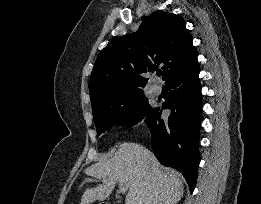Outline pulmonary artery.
I'll use <instances>...</instances> for the list:
<instances>
[{
  "label": "pulmonary artery",
  "mask_w": 261,
  "mask_h": 204,
  "mask_svg": "<svg viewBox=\"0 0 261 204\" xmlns=\"http://www.w3.org/2000/svg\"><path fill=\"white\" fill-rule=\"evenodd\" d=\"M152 90H153V93H154L155 95H157V96L160 95L161 92H162V88H161V86L158 85V84H155V85L153 86Z\"/></svg>",
  "instance_id": "1"
}]
</instances>
